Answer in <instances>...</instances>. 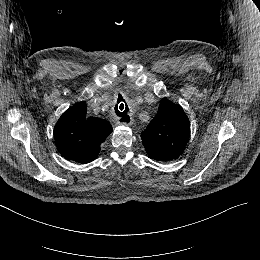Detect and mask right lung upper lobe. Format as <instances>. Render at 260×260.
Masks as SVG:
<instances>
[{
    "instance_id": "cb5924a9",
    "label": "right lung upper lobe",
    "mask_w": 260,
    "mask_h": 260,
    "mask_svg": "<svg viewBox=\"0 0 260 260\" xmlns=\"http://www.w3.org/2000/svg\"><path fill=\"white\" fill-rule=\"evenodd\" d=\"M86 114L87 105L82 101L65 111L54 128L56 146L61 155L83 164L97 158L101 143L113 130L108 121Z\"/></svg>"
}]
</instances>
